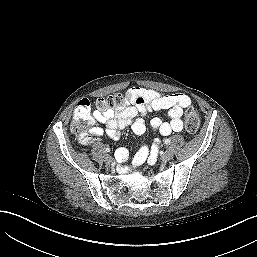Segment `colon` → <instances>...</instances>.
<instances>
[{
  "label": "colon",
  "mask_w": 257,
  "mask_h": 257,
  "mask_svg": "<svg viewBox=\"0 0 257 257\" xmlns=\"http://www.w3.org/2000/svg\"><path fill=\"white\" fill-rule=\"evenodd\" d=\"M129 97H125L122 93H115L96 101V107L104 112L122 107ZM76 115L71 124L74 133H81L82 129L92 124V112L90 103L87 99H81L75 107ZM200 127V115L196 108L190 107L185 113V129L189 134H195Z\"/></svg>",
  "instance_id": "obj_1"
}]
</instances>
